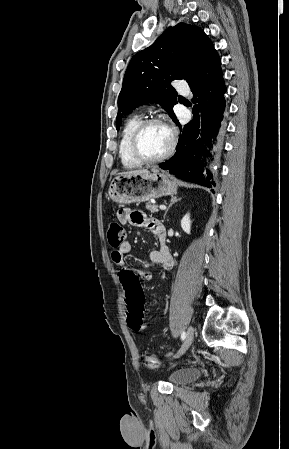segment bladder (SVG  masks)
<instances>
[{"instance_id": "obj_1", "label": "bladder", "mask_w": 289, "mask_h": 449, "mask_svg": "<svg viewBox=\"0 0 289 449\" xmlns=\"http://www.w3.org/2000/svg\"><path fill=\"white\" fill-rule=\"evenodd\" d=\"M201 374V370L196 368H181L170 375V382L174 385H184L195 381Z\"/></svg>"}]
</instances>
